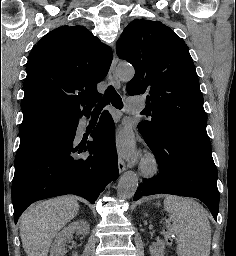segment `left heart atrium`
<instances>
[{
	"mask_svg": "<svg viewBox=\"0 0 236 256\" xmlns=\"http://www.w3.org/2000/svg\"><path fill=\"white\" fill-rule=\"evenodd\" d=\"M115 146L120 156H133L136 151V146L132 132L128 129L121 130L116 136Z\"/></svg>",
	"mask_w": 236,
	"mask_h": 256,
	"instance_id": "obj_1",
	"label": "left heart atrium"
}]
</instances>
